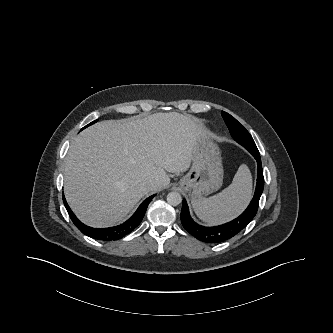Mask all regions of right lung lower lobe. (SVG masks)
Instances as JSON below:
<instances>
[{"mask_svg":"<svg viewBox=\"0 0 333 333\" xmlns=\"http://www.w3.org/2000/svg\"><path fill=\"white\" fill-rule=\"evenodd\" d=\"M154 196L155 195H152L148 197L146 200H144L139 206V208L136 210V212L132 215V217L128 219L126 222H124L121 225L110 228H91L89 226L84 225L73 214L64 196H63V202L71 220L83 234L97 240L111 241V240L121 239L125 235L132 232L141 223L145 215L147 206L149 205L150 201Z\"/></svg>","mask_w":333,"mask_h":333,"instance_id":"1","label":"right lung lower lobe"}]
</instances>
